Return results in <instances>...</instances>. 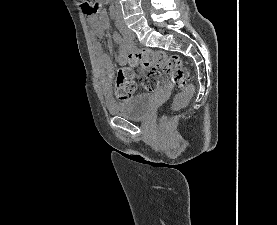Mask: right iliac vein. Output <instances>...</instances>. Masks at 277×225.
<instances>
[{"label": "right iliac vein", "instance_id": "obj_1", "mask_svg": "<svg viewBox=\"0 0 277 225\" xmlns=\"http://www.w3.org/2000/svg\"><path fill=\"white\" fill-rule=\"evenodd\" d=\"M121 31L128 38H132L134 36V34L131 31H128L126 29H122Z\"/></svg>", "mask_w": 277, "mask_h": 225}]
</instances>
